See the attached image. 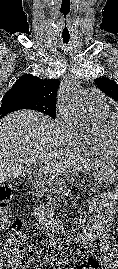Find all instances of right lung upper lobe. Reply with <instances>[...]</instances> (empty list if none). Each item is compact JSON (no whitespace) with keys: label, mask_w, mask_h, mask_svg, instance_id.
Listing matches in <instances>:
<instances>
[{"label":"right lung upper lobe","mask_w":118,"mask_h":269,"mask_svg":"<svg viewBox=\"0 0 118 269\" xmlns=\"http://www.w3.org/2000/svg\"><path fill=\"white\" fill-rule=\"evenodd\" d=\"M58 79H40L31 74L21 76L5 94H20L43 105H56Z\"/></svg>","instance_id":"obj_1"}]
</instances>
